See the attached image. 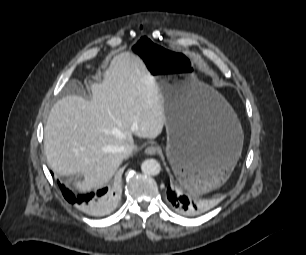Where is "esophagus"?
<instances>
[{
	"label": "esophagus",
	"instance_id": "esophagus-1",
	"mask_svg": "<svg viewBox=\"0 0 306 255\" xmlns=\"http://www.w3.org/2000/svg\"><path fill=\"white\" fill-rule=\"evenodd\" d=\"M159 149L157 146L155 145H149L148 147H146L145 149V153L147 155H156L158 153Z\"/></svg>",
	"mask_w": 306,
	"mask_h": 255
}]
</instances>
